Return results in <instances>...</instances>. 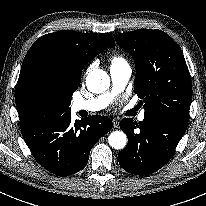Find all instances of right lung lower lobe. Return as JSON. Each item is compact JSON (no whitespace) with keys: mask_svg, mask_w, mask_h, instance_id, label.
Listing matches in <instances>:
<instances>
[{"mask_svg":"<svg viewBox=\"0 0 206 206\" xmlns=\"http://www.w3.org/2000/svg\"><path fill=\"white\" fill-rule=\"evenodd\" d=\"M113 127L111 119L93 115L71 122V114L58 120L21 129L37 162L49 172L67 176L82 170L94 144Z\"/></svg>","mask_w":206,"mask_h":206,"instance_id":"right-lung-lower-lobe-1","label":"right lung lower lobe"}]
</instances>
